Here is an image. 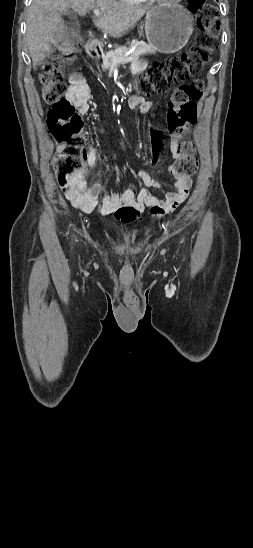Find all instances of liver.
Wrapping results in <instances>:
<instances>
[{"label": "liver", "instance_id": "obj_1", "mask_svg": "<svg viewBox=\"0 0 253 548\" xmlns=\"http://www.w3.org/2000/svg\"><path fill=\"white\" fill-rule=\"evenodd\" d=\"M67 8L80 16L89 10H99L101 15L93 19L94 25L117 38L126 34L149 9L116 0H33L27 15L26 42L34 68L58 44L55 34L59 39L64 38L67 28L62 14Z\"/></svg>", "mask_w": 253, "mask_h": 548}]
</instances>
